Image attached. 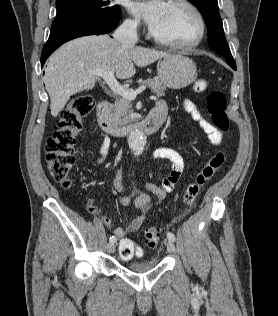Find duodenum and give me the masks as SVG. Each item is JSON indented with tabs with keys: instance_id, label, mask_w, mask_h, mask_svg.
I'll use <instances>...</instances> for the list:
<instances>
[{
	"instance_id": "obj_1",
	"label": "duodenum",
	"mask_w": 278,
	"mask_h": 316,
	"mask_svg": "<svg viewBox=\"0 0 278 316\" xmlns=\"http://www.w3.org/2000/svg\"><path fill=\"white\" fill-rule=\"evenodd\" d=\"M110 106L111 104L107 100L100 102L96 110V119L100 129L113 136H125L136 132L152 134L161 127L165 120V110L156 106L143 120L133 122L127 126H117L109 119Z\"/></svg>"
}]
</instances>
